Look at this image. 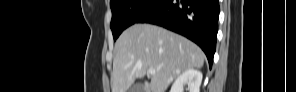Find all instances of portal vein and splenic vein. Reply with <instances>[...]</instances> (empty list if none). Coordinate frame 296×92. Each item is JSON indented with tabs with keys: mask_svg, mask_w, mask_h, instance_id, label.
<instances>
[{
	"mask_svg": "<svg viewBox=\"0 0 296 92\" xmlns=\"http://www.w3.org/2000/svg\"><path fill=\"white\" fill-rule=\"evenodd\" d=\"M148 73L151 74V75L155 74V70L154 69H148Z\"/></svg>",
	"mask_w": 296,
	"mask_h": 92,
	"instance_id": "1",
	"label": "portal vein and splenic vein"
}]
</instances>
